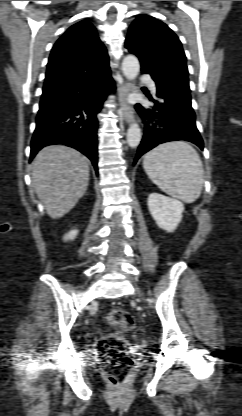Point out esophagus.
I'll use <instances>...</instances> for the list:
<instances>
[{
    "label": "esophagus",
    "instance_id": "34e87169",
    "mask_svg": "<svg viewBox=\"0 0 242 416\" xmlns=\"http://www.w3.org/2000/svg\"><path fill=\"white\" fill-rule=\"evenodd\" d=\"M133 90L132 84L125 82L120 88H119V104H120V115L122 119L126 123H131L134 120V112L133 108L127 103V96L128 94Z\"/></svg>",
    "mask_w": 242,
    "mask_h": 416
}]
</instances>
